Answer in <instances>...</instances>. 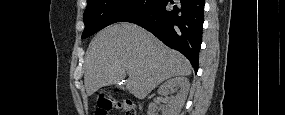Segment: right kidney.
Instances as JSON below:
<instances>
[{
  "label": "right kidney",
  "instance_id": "ca27d5eb",
  "mask_svg": "<svg viewBox=\"0 0 285 115\" xmlns=\"http://www.w3.org/2000/svg\"><path fill=\"white\" fill-rule=\"evenodd\" d=\"M172 87H178L179 91L176 96L168 98V105L163 109L162 115H178L180 113L186 100L190 83L185 77L172 78L159 87L158 94L167 96ZM157 110V105L149 104L148 115H158Z\"/></svg>",
  "mask_w": 285,
  "mask_h": 115
}]
</instances>
